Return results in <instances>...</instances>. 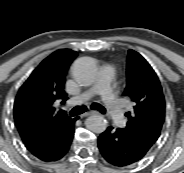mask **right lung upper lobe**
Returning <instances> with one entry per match:
<instances>
[{
    "instance_id": "1",
    "label": "right lung upper lobe",
    "mask_w": 184,
    "mask_h": 173,
    "mask_svg": "<svg viewBox=\"0 0 184 173\" xmlns=\"http://www.w3.org/2000/svg\"><path fill=\"white\" fill-rule=\"evenodd\" d=\"M77 53L69 49L58 50L33 71L20 88L15 104L14 118L21 137L40 132L71 120L55 106L64 104V76Z\"/></svg>"
}]
</instances>
